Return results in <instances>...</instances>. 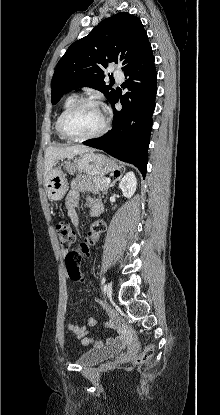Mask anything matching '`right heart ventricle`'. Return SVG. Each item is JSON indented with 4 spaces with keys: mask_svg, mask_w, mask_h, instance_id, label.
<instances>
[{
    "mask_svg": "<svg viewBox=\"0 0 220 415\" xmlns=\"http://www.w3.org/2000/svg\"><path fill=\"white\" fill-rule=\"evenodd\" d=\"M77 100H78V96L75 95V94H71V95L67 96L65 98V100L63 101V103H62L61 109H60V111H59V113L56 117L55 123H54L55 133L60 139H65V138L60 134L59 129H58L59 120H60L62 114L64 113V111L68 107H70L73 103H75Z\"/></svg>",
    "mask_w": 220,
    "mask_h": 415,
    "instance_id": "e07e8e85",
    "label": "right heart ventricle"
}]
</instances>
